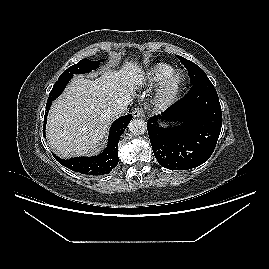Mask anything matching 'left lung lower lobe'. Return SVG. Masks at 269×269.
I'll list each match as a JSON object with an SVG mask.
<instances>
[{
  "label": "left lung lower lobe",
  "mask_w": 269,
  "mask_h": 269,
  "mask_svg": "<svg viewBox=\"0 0 269 269\" xmlns=\"http://www.w3.org/2000/svg\"><path fill=\"white\" fill-rule=\"evenodd\" d=\"M158 119L181 125L163 128ZM221 127V106L209 79L192 84L183 98L147 122L154 155L161 166L171 170H188L207 161Z\"/></svg>",
  "instance_id": "0a47b994"
}]
</instances>
